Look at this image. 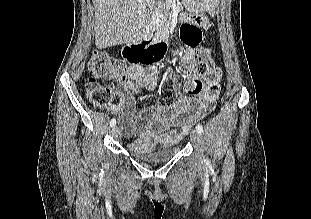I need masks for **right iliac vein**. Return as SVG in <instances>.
I'll return each instance as SVG.
<instances>
[{
  "instance_id": "1",
  "label": "right iliac vein",
  "mask_w": 311,
  "mask_h": 219,
  "mask_svg": "<svg viewBox=\"0 0 311 219\" xmlns=\"http://www.w3.org/2000/svg\"><path fill=\"white\" fill-rule=\"evenodd\" d=\"M111 134L114 138H118L119 134H120V130L118 126H113L112 130H111Z\"/></svg>"
}]
</instances>
